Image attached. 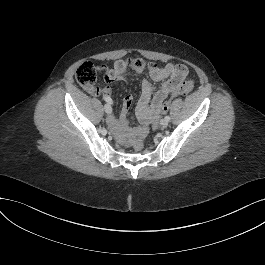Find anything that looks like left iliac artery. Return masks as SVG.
Returning <instances> with one entry per match:
<instances>
[{
    "instance_id": "obj_1",
    "label": "left iliac artery",
    "mask_w": 265,
    "mask_h": 265,
    "mask_svg": "<svg viewBox=\"0 0 265 265\" xmlns=\"http://www.w3.org/2000/svg\"><path fill=\"white\" fill-rule=\"evenodd\" d=\"M165 119H166L167 121H170L171 118H170L169 116H166Z\"/></svg>"
}]
</instances>
